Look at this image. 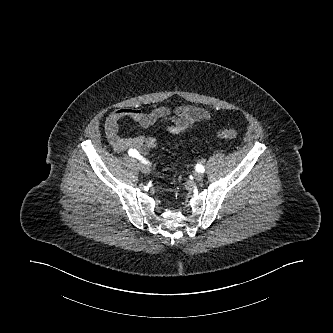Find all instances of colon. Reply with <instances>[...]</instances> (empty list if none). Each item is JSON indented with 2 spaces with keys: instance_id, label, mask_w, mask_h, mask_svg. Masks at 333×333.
Instances as JSON below:
<instances>
[{
  "instance_id": "1",
  "label": "colon",
  "mask_w": 333,
  "mask_h": 333,
  "mask_svg": "<svg viewBox=\"0 0 333 333\" xmlns=\"http://www.w3.org/2000/svg\"><path fill=\"white\" fill-rule=\"evenodd\" d=\"M216 135L222 139L234 140L237 138L238 134L234 129L224 128L216 132Z\"/></svg>"
}]
</instances>
